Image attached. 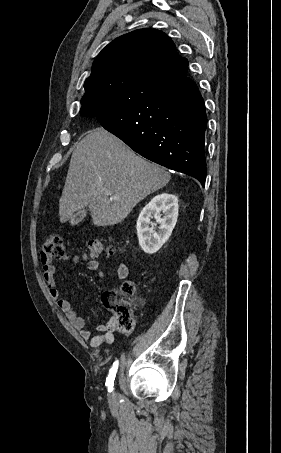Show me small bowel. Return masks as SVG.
Listing matches in <instances>:
<instances>
[{
	"mask_svg": "<svg viewBox=\"0 0 281 453\" xmlns=\"http://www.w3.org/2000/svg\"><path fill=\"white\" fill-rule=\"evenodd\" d=\"M88 268L91 272L98 273L101 278H105L102 274L101 267L97 262H89ZM128 276V267L126 264H120L117 268V280H125ZM42 278L46 283L49 295L54 299L58 307L62 310L65 316L70 320L73 326L80 331L81 337L87 340L93 349H98L102 344L111 345L113 343V328L114 319H110L107 324H99L97 326L98 334H93L85 328L86 320L80 316L71 302L65 299L55 280V268L49 262L44 260L42 263Z\"/></svg>",
	"mask_w": 281,
	"mask_h": 453,
	"instance_id": "small-bowel-1",
	"label": "small bowel"
}]
</instances>
